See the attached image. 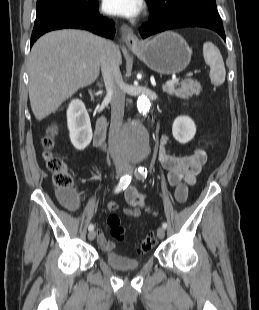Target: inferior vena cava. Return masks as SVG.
Wrapping results in <instances>:
<instances>
[{
	"instance_id": "obj_1",
	"label": "inferior vena cava",
	"mask_w": 259,
	"mask_h": 310,
	"mask_svg": "<svg viewBox=\"0 0 259 310\" xmlns=\"http://www.w3.org/2000/svg\"><path fill=\"white\" fill-rule=\"evenodd\" d=\"M116 45L110 41L101 59V71L107 95L111 100V124L109 130V148L116 165L124 163V157L118 146V136L122 127L125 106L124 83L115 57Z\"/></svg>"
}]
</instances>
